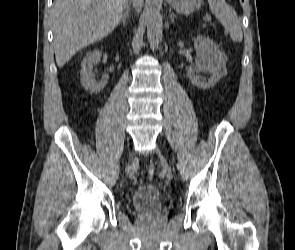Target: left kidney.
Wrapping results in <instances>:
<instances>
[{"label":"left kidney","mask_w":295,"mask_h":250,"mask_svg":"<svg viewBox=\"0 0 295 250\" xmlns=\"http://www.w3.org/2000/svg\"><path fill=\"white\" fill-rule=\"evenodd\" d=\"M194 47L196 49L197 63L195 67H187V76L195 86L202 89L213 87L223 76L226 67L227 58L219 47L208 37L198 35L194 38ZM210 73L208 79L199 78L196 72Z\"/></svg>","instance_id":"left-kidney-1"}]
</instances>
